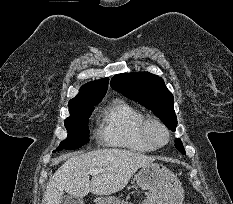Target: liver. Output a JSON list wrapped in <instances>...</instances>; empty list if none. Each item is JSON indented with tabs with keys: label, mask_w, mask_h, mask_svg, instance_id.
Masks as SVG:
<instances>
[{
	"label": "liver",
	"mask_w": 233,
	"mask_h": 204,
	"mask_svg": "<svg viewBox=\"0 0 233 204\" xmlns=\"http://www.w3.org/2000/svg\"><path fill=\"white\" fill-rule=\"evenodd\" d=\"M154 161L153 158L125 149H98L68 156L49 180L43 204H59L64 192L84 197L89 192L110 195L125 188L133 174ZM91 169H104L90 180Z\"/></svg>",
	"instance_id": "liver-1"
}]
</instances>
